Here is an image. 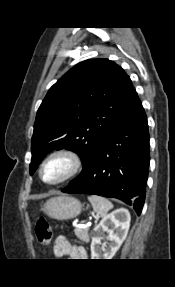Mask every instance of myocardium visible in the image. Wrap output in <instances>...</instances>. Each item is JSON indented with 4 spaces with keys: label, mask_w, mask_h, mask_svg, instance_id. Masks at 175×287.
Wrapping results in <instances>:
<instances>
[{
    "label": "myocardium",
    "mask_w": 175,
    "mask_h": 287,
    "mask_svg": "<svg viewBox=\"0 0 175 287\" xmlns=\"http://www.w3.org/2000/svg\"><path fill=\"white\" fill-rule=\"evenodd\" d=\"M57 157H64L68 159L70 162V169L59 180L48 182L43 177V169L50 160L57 158ZM83 166H84V160L77 151L69 149V148H61V149L52 151L44 158V160L40 164L38 172H39V177L44 184L49 185V186H59L75 178L82 171Z\"/></svg>",
    "instance_id": "1"
}]
</instances>
